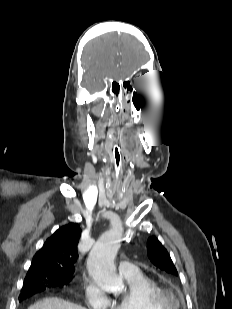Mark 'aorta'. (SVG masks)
<instances>
[{
  "instance_id": "aorta-1",
  "label": "aorta",
  "mask_w": 232,
  "mask_h": 309,
  "mask_svg": "<svg viewBox=\"0 0 232 309\" xmlns=\"http://www.w3.org/2000/svg\"><path fill=\"white\" fill-rule=\"evenodd\" d=\"M122 226L114 225L105 232L95 243L87 259L90 276L103 290L119 293L123 281L116 273L114 259L120 248Z\"/></svg>"
}]
</instances>
